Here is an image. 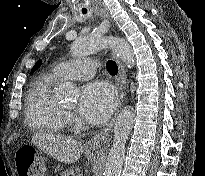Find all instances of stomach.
Listing matches in <instances>:
<instances>
[{"mask_svg": "<svg viewBox=\"0 0 205 176\" xmlns=\"http://www.w3.org/2000/svg\"><path fill=\"white\" fill-rule=\"evenodd\" d=\"M65 176L73 175V171L69 170L64 173Z\"/></svg>", "mask_w": 205, "mask_h": 176, "instance_id": "obj_1", "label": "stomach"}]
</instances>
